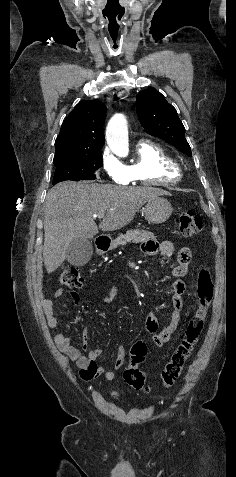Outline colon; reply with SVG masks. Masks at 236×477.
Masks as SVG:
<instances>
[{
	"label": "colon",
	"mask_w": 236,
	"mask_h": 477,
	"mask_svg": "<svg viewBox=\"0 0 236 477\" xmlns=\"http://www.w3.org/2000/svg\"><path fill=\"white\" fill-rule=\"evenodd\" d=\"M201 229L202 220L194 212L185 211L180 215L179 230L183 237H194ZM60 281L62 285L69 289H78L83 285V277L75 266L65 267L61 273ZM213 291L214 284L210 272L204 268L200 271L197 279V300L194 312L180 334L178 346L160 374V381L166 388L172 387L180 378L184 366L198 342L211 304ZM147 352L148 349L144 342L135 343L129 351V359L132 365L123 373L124 380L128 385L142 391H147L148 389L145 372L136 367V365L144 361Z\"/></svg>",
	"instance_id": "colon-1"
}]
</instances>
